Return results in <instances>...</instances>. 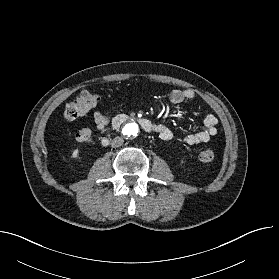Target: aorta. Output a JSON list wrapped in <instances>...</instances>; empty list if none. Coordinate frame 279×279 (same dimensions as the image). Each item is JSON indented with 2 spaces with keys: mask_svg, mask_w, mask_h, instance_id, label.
<instances>
[{
  "mask_svg": "<svg viewBox=\"0 0 279 279\" xmlns=\"http://www.w3.org/2000/svg\"><path fill=\"white\" fill-rule=\"evenodd\" d=\"M122 133L129 139L135 138L139 134V126L135 122H129L123 126Z\"/></svg>",
  "mask_w": 279,
  "mask_h": 279,
  "instance_id": "aorta-1",
  "label": "aorta"
}]
</instances>
